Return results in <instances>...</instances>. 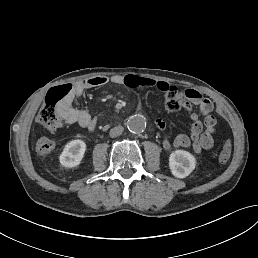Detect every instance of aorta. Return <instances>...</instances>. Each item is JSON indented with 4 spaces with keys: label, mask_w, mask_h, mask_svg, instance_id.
Here are the masks:
<instances>
[{
    "label": "aorta",
    "mask_w": 258,
    "mask_h": 258,
    "mask_svg": "<svg viewBox=\"0 0 258 258\" xmlns=\"http://www.w3.org/2000/svg\"><path fill=\"white\" fill-rule=\"evenodd\" d=\"M147 120L142 114H135L127 121V128L134 134H140L146 129Z\"/></svg>",
    "instance_id": "obj_1"
}]
</instances>
